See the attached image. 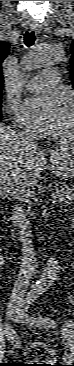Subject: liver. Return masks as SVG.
<instances>
[{"label": "liver", "instance_id": "liver-1", "mask_svg": "<svg viewBox=\"0 0 74 366\" xmlns=\"http://www.w3.org/2000/svg\"><path fill=\"white\" fill-rule=\"evenodd\" d=\"M43 170L38 148L23 145L20 132L0 125V194L14 196L18 187L35 186Z\"/></svg>", "mask_w": 74, "mask_h": 366}]
</instances>
